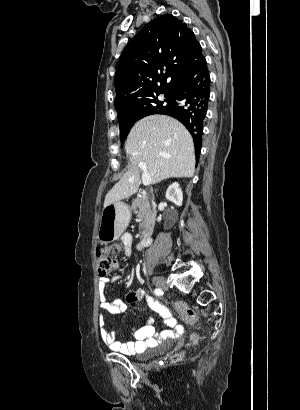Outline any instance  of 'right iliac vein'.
<instances>
[{
	"label": "right iliac vein",
	"instance_id": "right-iliac-vein-1",
	"mask_svg": "<svg viewBox=\"0 0 300 410\" xmlns=\"http://www.w3.org/2000/svg\"><path fill=\"white\" fill-rule=\"evenodd\" d=\"M152 282L155 286H157L160 289L166 290L167 289V283L164 278L159 277V276H154L152 277Z\"/></svg>",
	"mask_w": 300,
	"mask_h": 410
}]
</instances>
